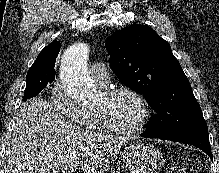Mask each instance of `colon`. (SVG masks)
Instances as JSON below:
<instances>
[{
  "label": "colon",
  "mask_w": 219,
  "mask_h": 173,
  "mask_svg": "<svg viewBox=\"0 0 219 173\" xmlns=\"http://www.w3.org/2000/svg\"><path fill=\"white\" fill-rule=\"evenodd\" d=\"M170 173H189L185 167L177 166L171 170Z\"/></svg>",
  "instance_id": "1"
}]
</instances>
